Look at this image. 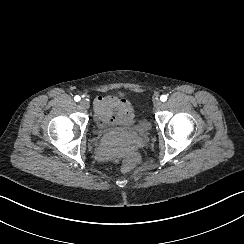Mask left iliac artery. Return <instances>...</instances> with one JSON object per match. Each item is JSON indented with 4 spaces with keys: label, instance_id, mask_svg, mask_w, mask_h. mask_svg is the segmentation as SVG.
<instances>
[{
    "label": "left iliac artery",
    "instance_id": "left-iliac-artery-1",
    "mask_svg": "<svg viewBox=\"0 0 244 244\" xmlns=\"http://www.w3.org/2000/svg\"><path fill=\"white\" fill-rule=\"evenodd\" d=\"M160 100H161L162 102H165V101L167 100V96H166V95H162V96L160 97Z\"/></svg>",
    "mask_w": 244,
    "mask_h": 244
}]
</instances>
